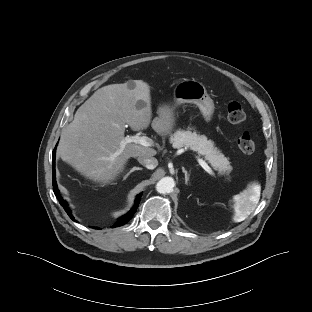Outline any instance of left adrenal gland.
<instances>
[{
	"label": "left adrenal gland",
	"instance_id": "left-adrenal-gland-1",
	"mask_svg": "<svg viewBox=\"0 0 312 312\" xmlns=\"http://www.w3.org/2000/svg\"><path fill=\"white\" fill-rule=\"evenodd\" d=\"M183 173L185 174V183L188 184L189 181V173L185 170V168H182Z\"/></svg>",
	"mask_w": 312,
	"mask_h": 312
}]
</instances>
